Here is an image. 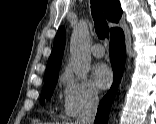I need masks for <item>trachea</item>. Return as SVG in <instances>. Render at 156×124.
Here are the masks:
<instances>
[{
    "label": "trachea",
    "instance_id": "3493384b",
    "mask_svg": "<svg viewBox=\"0 0 156 124\" xmlns=\"http://www.w3.org/2000/svg\"><path fill=\"white\" fill-rule=\"evenodd\" d=\"M91 12L95 24L96 34L100 39H104L109 35V27L104 17L103 11L97 0H91Z\"/></svg>",
    "mask_w": 156,
    "mask_h": 124
}]
</instances>
